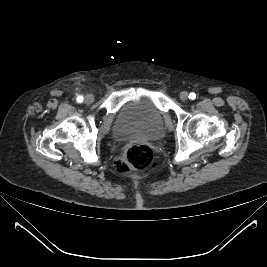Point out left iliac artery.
I'll return each mask as SVG.
<instances>
[{
	"label": "left iliac artery",
	"instance_id": "1",
	"mask_svg": "<svg viewBox=\"0 0 267 267\" xmlns=\"http://www.w3.org/2000/svg\"><path fill=\"white\" fill-rule=\"evenodd\" d=\"M195 97H196V94H195V93H190V95H189V98H190V99L193 100V99H195Z\"/></svg>",
	"mask_w": 267,
	"mask_h": 267
}]
</instances>
